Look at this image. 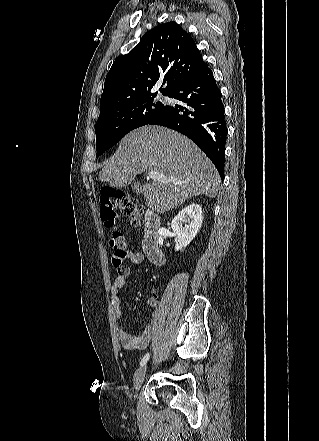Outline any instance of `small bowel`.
Instances as JSON below:
<instances>
[{"instance_id":"c3829d8e","label":"small bowel","mask_w":319,"mask_h":441,"mask_svg":"<svg viewBox=\"0 0 319 441\" xmlns=\"http://www.w3.org/2000/svg\"><path fill=\"white\" fill-rule=\"evenodd\" d=\"M128 259L130 260L133 266L140 265L144 256L140 252H128ZM117 268V275L111 285L110 289V298L113 306V313L117 321L121 319V309H120V297L121 290L126 285V278L130 273V268L128 266H124L122 264L115 265ZM146 304L150 308H156L158 304V299L155 296H151L147 299ZM154 331L153 322L148 323L143 330L139 334H132L124 330L122 327H119L118 336L122 346L126 350L130 351H141L146 349L150 340L152 338Z\"/></svg>"}]
</instances>
